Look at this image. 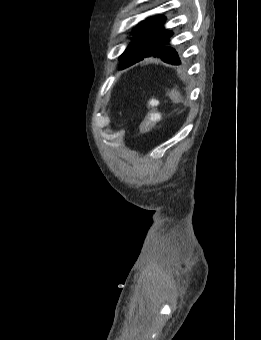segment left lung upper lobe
Listing matches in <instances>:
<instances>
[{
	"mask_svg": "<svg viewBox=\"0 0 261 340\" xmlns=\"http://www.w3.org/2000/svg\"><path fill=\"white\" fill-rule=\"evenodd\" d=\"M165 21L163 16H153L142 21L132 34L135 40L128 45L125 52L119 57L121 65L134 61L146 54L154 52H162L165 49H171L177 53V51L170 47L169 38L172 35L171 31L165 30L161 25Z\"/></svg>",
	"mask_w": 261,
	"mask_h": 340,
	"instance_id": "5c2ea615",
	"label": "left lung upper lobe"
}]
</instances>
